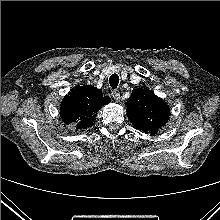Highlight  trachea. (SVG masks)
Instances as JSON below:
<instances>
[{
  "label": "trachea",
  "mask_w": 220,
  "mask_h": 220,
  "mask_svg": "<svg viewBox=\"0 0 220 220\" xmlns=\"http://www.w3.org/2000/svg\"><path fill=\"white\" fill-rule=\"evenodd\" d=\"M119 83V76L117 74H112L109 78V84L112 89L117 88Z\"/></svg>",
  "instance_id": "3493384b"
}]
</instances>
